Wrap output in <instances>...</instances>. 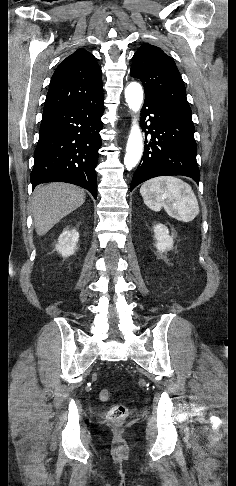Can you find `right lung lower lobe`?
<instances>
[{
  "mask_svg": "<svg viewBox=\"0 0 236 486\" xmlns=\"http://www.w3.org/2000/svg\"><path fill=\"white\" fill-rule=\"evenodd\" d=\"M103 112V97L43 112L30 176L33 188L41 183L67 182L87 189L96 199L95 168Z\"/></svg>",
  "mask_w": 236,
  "mask_h": 486,
  "instance_id": "obj_1",
  "label": "right lung lower lobe"
}]
</instances>
